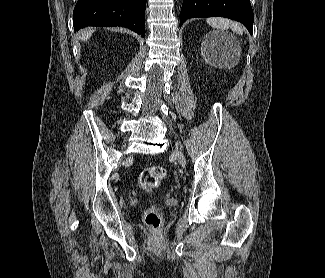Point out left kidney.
<instances>
[{"mask_svg": "<svg viewBox=\"0 0 325 278\" xmlns=\"http://www.w3.org/2000/svg\"><path fill=\"white\" fill-rule=\"evenodd\" d=\"M210 47L212 48L210 49L201 48V53L206 63L212 65V57H213L212 54L213 53L217 54V50L227 47V44H223V41L221 40H215L213 41V44H211Z\"/></svg>", "mask_w": 325, "mask_h": 278, "instance_id": "5707ae66", "label": "left kidney"}]
</instances>
